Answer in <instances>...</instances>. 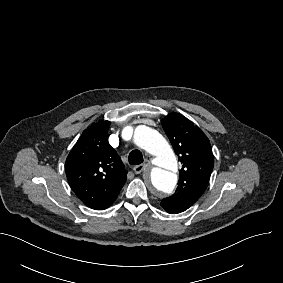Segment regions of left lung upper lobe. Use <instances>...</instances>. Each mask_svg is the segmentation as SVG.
<instances>
[{"mask_svg":"<svg viewBox=\"0 0 283 283\" xmlns=\"http://www.w3.org/2000/svg\"><path fill=\"white\" fill-rule=\"evenodd\" d=\"M161 123L182 163L177 190L172 196L164 198L161 206L185 211L208 186L214 166L212 148L203 131L181 114H169Z\"/></svg>","mask_w":283,"mask_h":283,"instance_id":"left-lung-upper-lobe-1","label":"left lung upper lobe"}]
</instances>
